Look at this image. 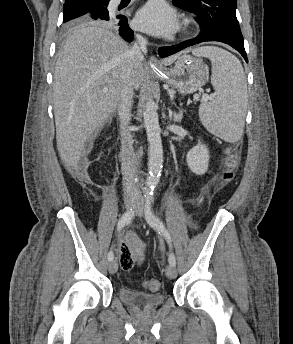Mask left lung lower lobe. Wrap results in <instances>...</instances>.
<instances>
[{
  "label": "left lung lower lobe",
  "instance_id": "0a47b994",
  "mask_svg": "<svg viewBox=\"0 0 293 344\" xmlns=\"http://www.w3.org/2000/svg\"><path fill=\"white\" fill-rule=\"evenodd\" d=\"M208 41H217V42H222V43L230 45L243 56L246 62H248L243 42L237 41L223 33L215 32V31H202L194 39L185 41L183 43H180L174 46L159 48L158 53L160 57L164 58L172 54H175L189 46L202 43V42H208Z\"/></svg>",
  "mask_w": 293,
  "mask_h": 344
}]
</instances>
